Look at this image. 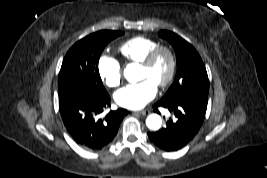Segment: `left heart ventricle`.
<instances>
[{
	"mask_svg": "<svg viewBox=\"0 0 267 178\" xmlns=\"http://www.w3.org/2000/svg\"><path fill=\"white\" fill-rule=\"evenodd\" d=\"M169 70V59L165 53H161L150 68L141 67L140 80L150 79L156 85L165 79Z\"/></svg>",
	"mask_w": 267,
	"mask_h": 178,
	"instance_id": "obj_1",
	"label": "left heart ventricle"
}]
</instances>
